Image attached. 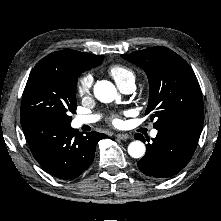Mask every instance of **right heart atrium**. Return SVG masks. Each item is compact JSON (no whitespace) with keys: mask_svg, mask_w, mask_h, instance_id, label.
Masks as SVG:
<instances>
[{"mask_svg":"<svg viewBox=\"0 0 221 221\" xmlns=\"http://www.w3.org/2000/svg\"><path fill=\"white\" fill-rule=\"evenodd\" d=\"M93 84V78L90 74L82 75L76 85V90L79 96L86 97L90 94Z\"/></svg>","mask_w":221,"mask_h":221,"instance_id":"1","label":"right heart atrium"}]
</instances>
